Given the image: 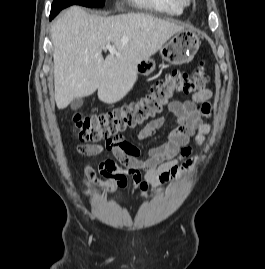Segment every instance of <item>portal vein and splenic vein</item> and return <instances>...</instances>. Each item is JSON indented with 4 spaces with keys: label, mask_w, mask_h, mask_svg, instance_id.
<instances>
[{
    "label": "portal vein and splenic vein",
    "mask_w": 265,
    "mask_h": 269,
    "mask_svg": "<svg viewBox=\"0 0 265 269\" xmlns=\"http://www.w3.org/2000/svg\"><path fill=\"white\" fill-rule=\"evenodd\" d=\"M105 48L108 49L111 54L115 53V49H114V47L112 45L107 44Z\"/></svg>",
    "instance_id": "18ae733b"
}]
</instances>
